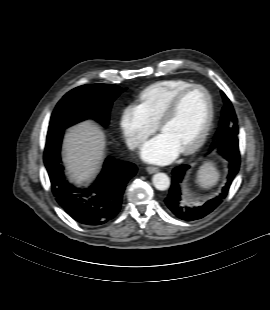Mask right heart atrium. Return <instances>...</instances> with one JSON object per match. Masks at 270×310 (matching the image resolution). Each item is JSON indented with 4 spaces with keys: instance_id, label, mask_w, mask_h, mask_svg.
<instances>
[{
    "instance_id": "right-heart-atrium-1",
    "label": "right heart atrium",
    "mask_w": 270,
    "mask_h": 310,
    "mask_svg": "<svg viewBox=\"0 0 270 310\" xmlns=\"http://www.w3.org/2000/svg\"><path fill=\"white\" fill-rule=\"evenodd\" d=\"M120 126L129 147L140 146L155 131V124L149 119L140 104H127L120 117Z\"/></svg>"
}]
</instances>
